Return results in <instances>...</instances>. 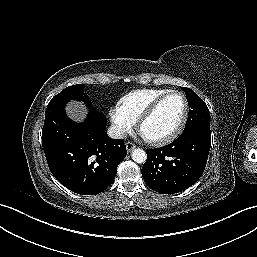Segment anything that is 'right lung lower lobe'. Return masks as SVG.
<instances>
[{
	"instance_id": "98d812e1",
	"label": "right lung lower lobe",
	"mask_w": 257,
	"mask_h": 257,
	"mask_svg": "<svg viewBox=\"0 0 257 257\" xmlns=\"http://www.w3.org/2000/svg\"><path fill=\"white\" fill-rule=\"evenodd\" d=\"M64 102L47 106L42 145L53 176L69 190L95 195L114 181L118 164L127 155L124 141L106 135V117L91 104L83 123L71 121Z\"/></svg>"
}]
</instances>
